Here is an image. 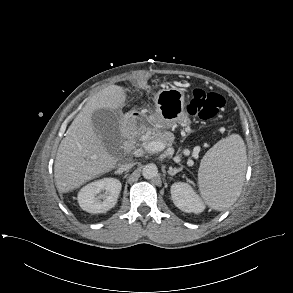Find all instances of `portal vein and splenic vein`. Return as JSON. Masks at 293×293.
<instances>
[{
  "label": "portal vein and splenic vein",
  "mask_w": 293,
  "mask_h": 293,
  "mask_svg": "<svg viewBox=\"0 0 293 293\" xmlns=\"http://www.w3.org/2000/svg\"><path fill=\"white\" fill-rule=\"evenodd\" d=\"M147 150L149 151H153V152H160L162 150H164L165 148V144L160 142V141H151L149 143L146 144V147H145ZM192 156L194 158H198V152L197 151H194Z\"/></svg>",
  "instance_id": "portal-vein-and-splenic-vein-1"
}]
</instances>
